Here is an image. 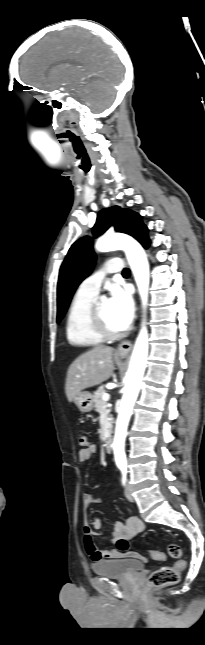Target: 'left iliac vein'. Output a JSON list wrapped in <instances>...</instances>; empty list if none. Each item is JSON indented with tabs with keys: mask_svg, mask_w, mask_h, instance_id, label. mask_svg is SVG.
<instances>
[{
	"mask_svg": "<svg viewBox=\"0 0 205 645\" xmlns=\"http://www.w3.org/2000/svg\"><path fill=\"white\" fill-rule=\"evenodd\" d=\"M125 496H126V498H127L130 502H133V501H134V497H133V495H132V491H131V489H130V487H129L128 485H127V486H126V488H125Z\"/></svg>",
	"mask_w": 205,
	"mask_h": 645,
	"instance_id": "1",
	"label": "left iliac vein"
}]
</instances>
